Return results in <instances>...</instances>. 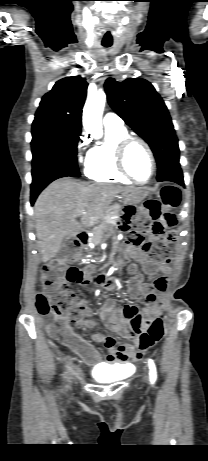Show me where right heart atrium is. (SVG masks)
Here are the masks:
<instances>
[{
  "mask_svg": "<svg viewBox=\"0 0 208 461\" xmlns=\"http://www.w3.org/2000/svg\"><path fill=\"white\" fill-rule=\"evenodd\" d=\"M88 142L87 135L83 134L77 144V157L79 161L83 160V152L85 150V146Z\"/></svg>",
  "mask_w": 208,
  "mask_h": 461,
  "instance_id": "right-heart-atrium-1",
  "label": "right heart atrium"
}]
</instances>
